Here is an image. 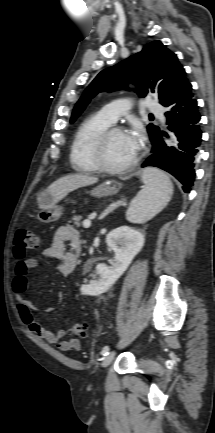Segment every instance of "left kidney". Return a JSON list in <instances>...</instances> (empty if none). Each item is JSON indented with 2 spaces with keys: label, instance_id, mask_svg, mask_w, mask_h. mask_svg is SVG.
<instances>
[{
  "label": "left kidney",
  "instance_id": "left-kidney-1",
  "mask_svg": "<svg viewBox=\"0 0 215 433\" xmlns=\"http://www.w3.org/2000/svg\"><path fill=\"white\" fill-rule=\"evenodd\" d=\"M106 244L115 253L111 266L98 264L96 267L98 280H92L82 285V295L97 296L106 292L126 271L129 264L142 249L144 236L137 230L128 226H120L112 230L106 237Z\"/></svg>",
  "mask_w": 215,
  "mask_h": 433
}]
</instances>
